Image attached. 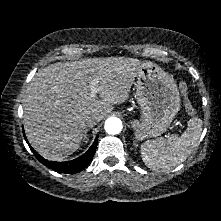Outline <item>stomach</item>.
Wrapping results in <instances>:
<instances>
[{
    "instance_id": "0dacf381",
    "label": "stomach",
    "mask_w": 221,
    "mask_h": 221,
    "mask_svg": "<svg viewBox=\"0 0 221 221\" xmlns=\"http://www.w3.org/2000/svg\"><path fill=\"white\" fill-rule=\"evenodd\" d=\"M136 79V99L142 116L130 122L135 138L160 136L180 109L177 85L170 75L151 62L142 63Z\"/></svg>"
}]
</instances>
